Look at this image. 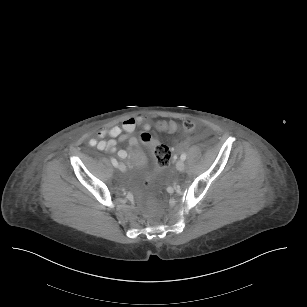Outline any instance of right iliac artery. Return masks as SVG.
<instances>
[{
    "label": "right iliac artery",
    "instance_id": "1",
    "mask_svg": "<svg viewBox=\"0 0 307 307\" xmlns=\"http://www.w3.org/2000/svg\"><path fill=\"white\" fill-rule=\"evenodd\" d=\"M111 162H112L113 166H115V167H117V166H118V162H117V160H116V159L111 158Z\"/></svg>",
    "mask_w": 307,
    "mask_h": 307
}]
</instances>
